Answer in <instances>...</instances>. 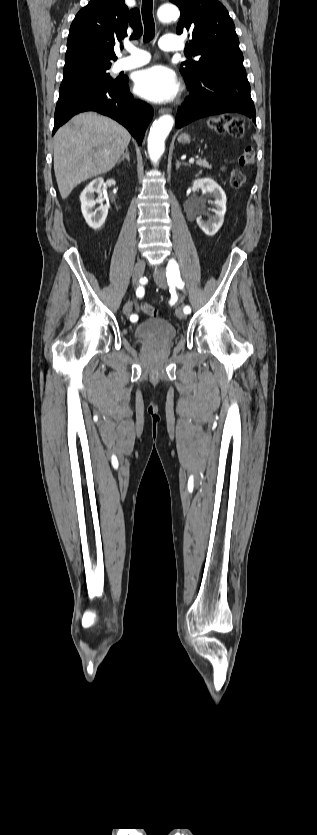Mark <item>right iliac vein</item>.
<instances>
[{"label": "right iliac vein", "mask_w": 317, "mask_h": 835, "mask_svg": "<svg viewBox=\"0 0 317 835\" xmlns=\"http://www.w3.org/2000/svg\"><path fill=\"white\" fill-rule=\"evenodd\" d=\"M144 270H145V261L142 260V259L138 260L137 263L135 264V267H134V270H133V281H134L135 284H138L140 278L143 276ZM131 309H132V307L128 306V304H126L123 307V313L125 315H129L130 312H131Z\"/></svg>", "instance_id": "63e3f726"}]
</instances>
